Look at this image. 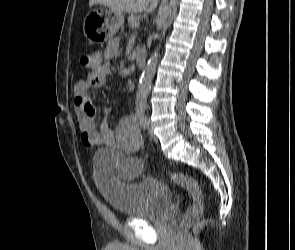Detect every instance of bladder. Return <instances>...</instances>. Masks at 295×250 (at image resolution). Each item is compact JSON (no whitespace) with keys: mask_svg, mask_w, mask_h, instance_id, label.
I'll list each match as a JSON object with an SVG mask.
<instances>
[{"mask_svg":"<svg viewBox=\"0 0 295 250\" xmlns=\"http://www.w3.org/2000/svg\"><path fill=\"white\" fill-rule=\"evenodd\" d=\"M122 161L114 149H102L93 156L96 184L106 202L128 219L157 220L168 210L172 194L159 179L143 175L138 180L122 182Z\"/></svg>","mask_w":295,"mask_h":250,"instance_id":"31cf9c89","label":"bladder"}]
</instances>
